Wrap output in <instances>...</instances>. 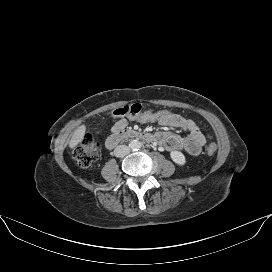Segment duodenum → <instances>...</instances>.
I'll list each match as a JSON object with an SVG mask.
<instances>
[{"label":"duodenum","instance_id":"duodenum-1","mask_svg":"<svg viewBox=\"0 0 272 272\" xmlns=\"http://www.w3.org/2000/svg\"><path fill=\"white\" fill-rule=\"evenodd\" d=\"M128 139H140L147 142L154 141V135L132 129H118L106 140V148L111 150L115 148L119 143Z\"/></svg>","mask_w":272,"mask_h":272}]
</instances>
